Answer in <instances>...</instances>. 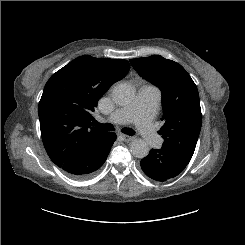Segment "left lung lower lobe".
Listing matches in <instances>:
<instances>
[{
    "label": "left lung lower lobe",
    "instance_id": "obj_1",
    "mask_svg": "<svg viewBox=\"0 0 245 245\" xmlns=\"http://www.w3.org/2000/svg\"><path fill=\"white\" fill-rule=\"evenodd\" d=\"M189 162L185 161L169 149H152L141 160L143 172L156 181H166L180 174Z\"/></svg>",
    "mask_w": 245,
    "mask_h": 245
}]
</instances>
